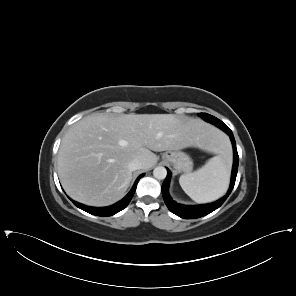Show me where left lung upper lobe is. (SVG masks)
<instances>
[{
    "mask_svg": "<svg viewBox=\"0 0 296 296\" xmlns=\"http://www.w3.org/2000/svg\"><path fill=\"white\" fill-rule=\"evenodd\" d=\"M203 119H205L206 121L215 124L216 126L219 125H225L221 120L217 119L216 117L209 115L207 113H200L199 114ZM226 126V125H225Z\"/></svg>",
    "mask_w": 296,
    "mask_h": 296,
    "instance_id": "5c2ea615",
    "label": "left lung upper lobe"
}]
</instances>
